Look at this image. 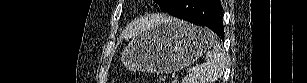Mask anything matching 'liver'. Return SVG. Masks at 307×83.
Here are the masks:
<instances>
[{
	"instance_id": "1",
	"label": "liver",
	"mask_w": 307,
	"mask_h": 83,
	"mask_svg": "<svg viewBox=\"0 0 307 83\" xmlns=\"http://www.w3.org/2000/svg\"><path fill=\"white\" fill-rule=\"evenodd\" d=\"M169 19H172V18H165V19H163V20H169ZM139 29H140V25H138V24H133V25H131V26H129L128 28H127V30L125 31V33H124V35H126V36H129V35H136V34H138V32H139Z\"/></svg>"
}]
</instances>
